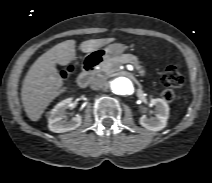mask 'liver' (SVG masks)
I'll use <instances>...</instances> for the list:
<instances>
[{
	"label": "liver",
	"instance_id": "1",
	"mask_svg": "<svg viewBox=\"0 0 212 183\" xmlns=\"http://www.w3.org/2000/svg\"><path fill=\"white\" fill-rule=\"evenodd\" d=\"M112 40H86L81 43L80 49L84 53H90ZM75 45V40L61 42L42 54L30 67L21 90L24 110L30 120L38 121L47 106L66 91V88L62 87L63 79L56 64L65 66L75 60Z\"/></svg>",
	"mask_w": 212,
	"mask_h": 183
}]
</instances>
